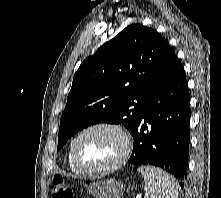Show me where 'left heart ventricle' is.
<instances>
[{"mask_svg": "<svg viewBox=\"0 0 221 198\" xmlns=\"http://www.w3.org/2000/svg\"><path fill=\"white\" fill-rule=\"evenodd\" d=\"M122 148V140L114 131L98 129L85 134L78 141L77 156L83 166L98 169L112 164Z\"/></svg>", "mask_w": 221, "mask_h": 198, "instance_id": "b2bd125f", "label": "left heart ventricle"}]
</instances>
